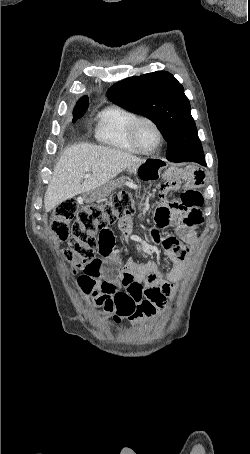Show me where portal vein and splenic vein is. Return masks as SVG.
Returning <instances> with one entry per match:
<instances>
[{
  "label": "portal vein and splenic vein",
  "mask_w": 250,
  "mask_h": 454,
  "mask_svg": "<svg viewBox=\"0 0 250 454\" xmlns=\"http://www.w3.org/2000/svg\"><path fill=\"white\" fill-rule=\"evenodd\" d=\"M90 176V174H85L84 177L85 178H88Z\"/></svg>",
  "instance_id": "1"
}]
</instances>
